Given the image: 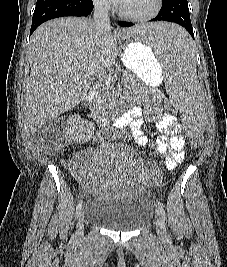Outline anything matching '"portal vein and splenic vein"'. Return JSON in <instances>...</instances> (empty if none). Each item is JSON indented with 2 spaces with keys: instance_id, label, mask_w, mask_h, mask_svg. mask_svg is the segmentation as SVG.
Masks as SVG:
<instances>
[{
  "instance_id": "18ae733b",
  "label": "portal vein and splenic vein",
  "mask_w": 227,
  "mask_h": 267,
  "mask_svg": "<svg viewBox=\"0 0 227 267\" xmlns=\"http://www.w3.org/2000/svg\"><path fill=\"white\" fill-rule=\"evenodd\" d=\"M76 78H79V74L76 75ZM98 78L100 79V81H104L107 84L110 81L114 80L116 76L101 75V76H98Z\"/></svg>"
}]
</instances>
